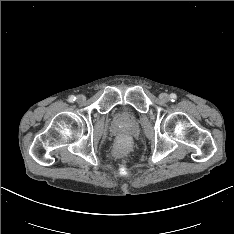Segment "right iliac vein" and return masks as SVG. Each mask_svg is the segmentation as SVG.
Listing matches in <instances>:
<instances>
[{"label": "right iliac vein", "instance_id": "63e3f726", "mask_svg": "<svg viewBox=\"0 0 234 234\" xmlns=\"http://www.w3.org/2000/svg\"><path fill=\"white\" fill-rule=\"evenodd\" d=\"M85 101V96L84 95H78L77 96V102L82 103Z\"/></svg>", "mask_w": 234, "mask_h": 234}]
</instances>
